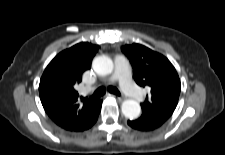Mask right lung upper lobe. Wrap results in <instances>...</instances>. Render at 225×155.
I'll use <instances>...</instances> for the list:
<instances>
[{"instance_id":"right-lung-upper-lobe-1","label":"right lung upper lobe","mask_w":225,"mask_h":155,"mask_svg":"<svg viewBox=\"0 0 225 155\" xmlns=\"http://www.w3.org/2000/svg\"><path fill=\"white\" fill-rule=\"evenodd\" d=\"M98 45L82 42L59 53L46 67L39 84L41 103L48 116L69 131L86 130L100 102L79 98L77 85L91 67Z\"/></svg>"}]
</instances>
